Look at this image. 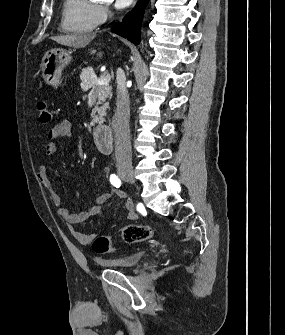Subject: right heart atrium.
<instances>
[{
    "label": "right heart atrium",
    "mask_w": 285,
    "mask_h": 335,
    "mask_svg": "<svg viewBox=\"0 0 285 335\" xmlns=\"http://www.w3.org/2000/svg\"><path fill=\"white\" fill-rule=\"evenodd\" d=\"M112 16L109 1H97L92 9V18L96 25L104 24Z\"/></svg>",
    "instance_id": "right-heart-atrium-1"
}]
</instances>
